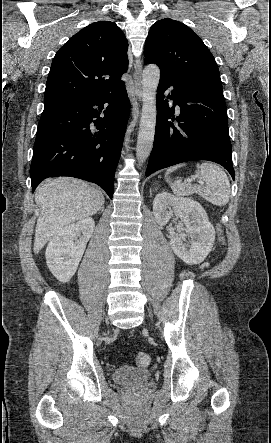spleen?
I'll return each mask as SVG.
<instances>
[{"label": "spleen", "instance_id": "1", "mask_svg": "<svg viewBox=\"0 0 271 443\" xmlns=\"http://www.w3.org/2000/svg\"><path fill=\"white\" fill-rule=\"evenodd\" d=\"M186 164H178L169 168L165 174L167 182H170L171 172H175L178 168H183ZM195 178H199L201 182L205 184H181V182H175L170 184L171 190H173L176 196H192V194H198L201 198H205L207 202H211L214 206H226L230 198V184L228 176L223 172L220 166L216 164H196Z\"/></svg>", "mask_w": 271, "mask_h": 443}]
</instances>
